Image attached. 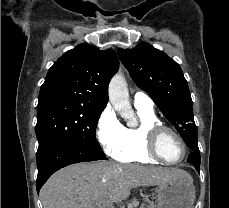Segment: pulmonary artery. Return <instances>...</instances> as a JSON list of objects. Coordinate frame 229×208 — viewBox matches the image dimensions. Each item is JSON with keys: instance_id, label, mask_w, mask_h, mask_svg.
<instances>
[{"instance_id": "1", "label": "pulmonary artery", "mask_w": 229, "mask_h": 208, "mask_svg": "<svg viewBox=\"0 0 229 208\" xmlns=\"http://www.w3.org/2000/svg\"><path fill=\"white\" fill-rule=\"evenodd\" d=\"M134 106L136 108H143L154 110V104L151 98L143 92H137L134 96Z\"/></svg>"}]
</instances>
